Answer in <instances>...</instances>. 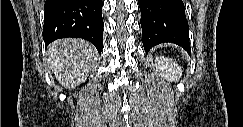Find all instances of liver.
Segmentation results:
<instances>
[{
	"label": "liver",
	"mask_w": 243,
	"mask_h": 127,
	"mask_svg": "<svg viewBox=\"0 0 243 127\" xmlns=\"http://www.w3.org/2000/svg\"><path fill=\"white\" fill-rule=\"evenodd\" d=\"M50 69L59 83L67 89L83 83L95 66L97 51L87 41L64 38L52 42L47 50Z\"/></svg>",
	"instance_id": "obj_1"
}]
</instances>
